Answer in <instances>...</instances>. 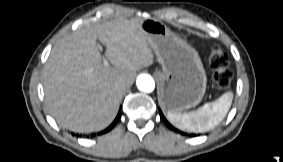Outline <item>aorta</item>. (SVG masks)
Listing matches in <instances>:
<instances>
[{
	"label": "aorta",
	"instance_id": "1",
	"mask_svg": "<svg viewBox=\"0 0 283 162\" xmlns=\"http://www.w3.org/2000/svg\"><path fill=\"white\" fill-rule=\"evenodd\" d=\"M136 85L140 91L150 93L155 88L154 79L148 74H140L137 77Z\"/></svg>",
	"mask_w": 283,
	"mask_h": 162
}]
</instances>
